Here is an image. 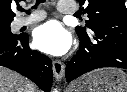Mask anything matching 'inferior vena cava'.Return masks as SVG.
<instances>
[{"mask_svg": "<svg viewBox=\"0 0 127 92\" xmlns=\"http://www.w3.org/2000/svg\"><path fill=\"white\" fill-rule=\"evenodd\" d=\"M32 87H33V85H29L28 89H29V90H31V89H32Z\"/></svg>", "mask_w": 127, "mask_h": 92, "instance_id": "602c4592", "label": "inferior vena cava"}]
</instances>
